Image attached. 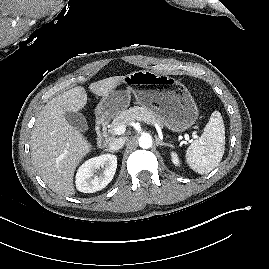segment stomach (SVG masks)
Returning a JSON list of instances; mask_svg holds the SVG:
<instances>
[{
  "label": "stomach",
  "mask_w": 269,
  "mask_h": 269,
  "mask_svg": "<svg viewBox=\"0 0 269 269\" xmlns=\"http://www.w3.org/2000/svg\"><path fill=\"white\" fill-rule=\"evenodd\" d=\"M131 93L136 102L153 112L159 122L172 132L189 129L198 118V108L187 88L179 81L153 71H134L102 97L95 114L98 120H108L124 111Z\"/></svg>",
  "instance_id": "1"
}]
</instances>
